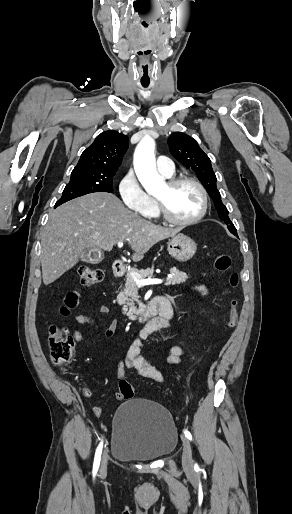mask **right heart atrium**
<instances>
[{
  "label": "right heart atrium",
  "instance_id": "obj_1",
  "mask_svg": "<svg viewBox=\"0 0 292 514\" xmlns=\"http://www.w3.org/2000/svg\"><path fill=\"white\" fill-rule=\"evenodd\" d=\"M118 194L128 209H140L141 212H144L149 207L150 197L132 170L126 171L120 178Z\"/></svg>",
  "mask_w": 292,
  "mask_h": 514
}]
</instances>
